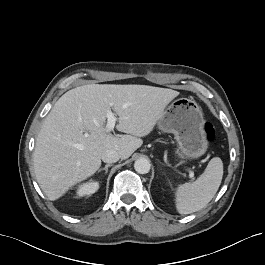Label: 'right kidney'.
Listing matches in <instances>:
<instances>
[{"instance_id": "ca27d5eb", "label": "right kidney", "mask_w": 265, "mask_h": 265, "mask_svg": "<svg viewBox=\"0 0 265 265\" xmlns=\"http://www.w3.org/2000/svg\"><path fill=\"white\" fill-rule=\"evenodd\" d=\"M99 188V183L95 181H90L87 183H84L80 185L77 189V195L79 197L86 196V195H91L95 193Z\"/></svg>"}]
</instances>
